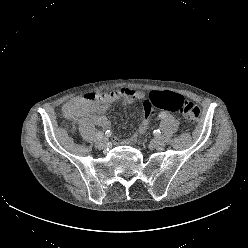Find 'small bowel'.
<instances>
[{"mask_svg":"<svg viewBox=\"0 0 248 248\" xmlns=\"http://www.w3.org/2000/svg\"><path fill=\"white\" fill-rule=\"evenodd\" d=\"M144 97L145 93L143 91L126 87L108 92H90L68 101L63 106L62 111L64 116L68 119L76 120L82 117H87L97 125L108 129L110 127V121L103 115V112L107 110L110 104L119 100L124 104H132ZM136 138V134H133L128 139L115 137L114 143L133 144L135 143Z\"/></svg>","mask_w":248,"mask_h":248,"instance_id":"small-bowel-1","label":"small bowel"}]
</instances>
